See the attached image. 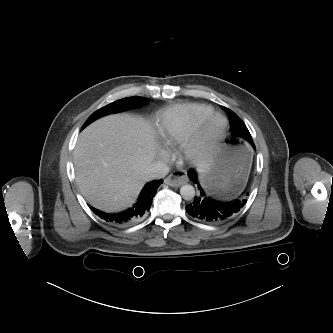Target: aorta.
<instances>
[{
  "mask_svg": "<svg viewBox=\"0 0 333 333\" xmlns=\"http://www.w3.org/2000/svg\"><path fill=\"white\" fill-rule=\"evenodd\" d=\"M180 194L184 200H192L195 196V189L192 185L186 184L180 188Z\"/></svg>",
  "mask_w": 333,
  "mask_h": 333,
  "instance_id": "762f6f07",
  "label": "aorta"
}]
</instances>
